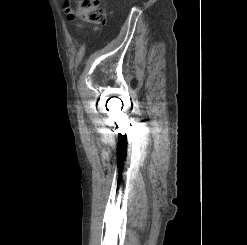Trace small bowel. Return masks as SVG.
<instances>
[{"mask_svg": "<svg viewBox=\"0 0 247 245\" xmlns=\"http://www.w3.org/2000/svg\"><path fill=\"white\" fill-rule=\"evenodd\" d=\"M64 8H65L68 19H70V20L74 19V12L70 7V0H64ZM75 25L78 28H85L86 27L84 24L78 23V22Z\"/></svg>", "mask_w": 247, "mask_h": 245, "instance_id": "obj_1", "label": "small bowel"}]
</instances>
